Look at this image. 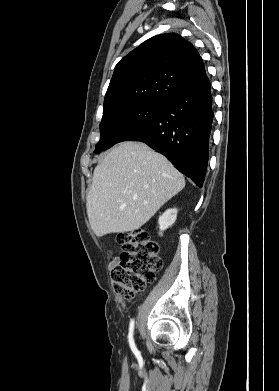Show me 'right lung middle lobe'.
<instances>
[{
	"label": "right lung middle lobe",
	"mask_w": 279,
	"mask_h": 391,
	"mask_svg": "<svg viewBox=\"0 0 279 391\" xmlns=\"http://www.w3.org/2000/svg\"><path fill=\"white\" fill-rule=\"evenodd\" d=\"M163 104L138 102L103 113L100 123V140L94 152L98 154L116 143L124 141L133 131L151 122Z\"/></svg>",
	"instance_id": "1"
}]
</instances>
